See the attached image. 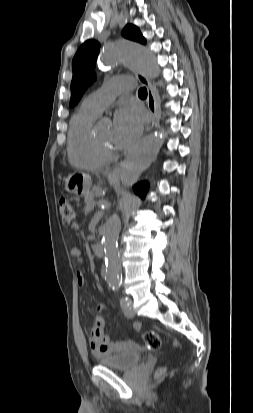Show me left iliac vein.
I'll return each mask as SVG.
<instances>
[{
  "instance_id": "1",
  "label": "left iliac vein",
  "mask_w": 253,
  "mask_h": 413,
  "mask_svg": "<svg viewBox=\"0 0 253 413\" xmlns=\"http://www.w3.org/2000/svg\"><path fill=\"white\" fill-rule=\"evenodd\" d=\"M129 305L123 308L124 314L128 318H132L135 316V311L133 309V302L131 299L128 300Z\"/></svg>"
}]
</instances>
